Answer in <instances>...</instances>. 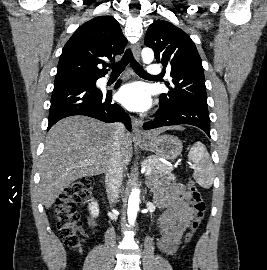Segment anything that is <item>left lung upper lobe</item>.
Instances as JSON below:
<instances>
[{"label":"left lung upper lobe","mask_w":267,"mask_h":270,"mask_svg":"<svg viewBox=\"0 0 267 270\" xmlns=\"http://www.w3.org/2000/svg\"><path fill=\"white\" fill-rule=\"evenodd\" d=\"M144 44L154 50L157 63H162L164 71L169 69L173 78L166 83L169 92L160 95L162 106H207L202 61L194 42L183 30L168 21H155L147 29Z\"/></svg>","instance_id":"1"}]
</instances>
